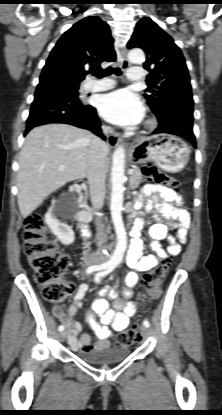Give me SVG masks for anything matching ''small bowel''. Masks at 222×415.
<instances>
[{
  "label": "small bowel",
  "mask_w": 222,
  "mask_h": 415,
  "mask_svg": "<svg viewBox=\"0 0 222 415\" xmlns=\"http://www.w3.org/2000/svg\"><path fill=\"white\" fill-rule=\"evenodd\" d=\"M141 197L147 198L145 211L155 210L154 223L148 230L151 241L149 243L155 255L143 254V241L138 232L135 233L127 255V264L132 268L126 276V286L121 295L116 290L104 287L100 290V295L105 298H96L92 301L90 309L86 314V321L97 337V342L92 343L91 337L87 333H81L82 327L72 318L77 314L82 305L88 285L81 283L71 301L68 309L64 312L59 307H54L53 312L58 319L66 325L68 330V343L74 351L104 350L110 347V342L115 332L126 330L129 320L136 313V304L132 300L133 288L138 283V273L146 272L158 265L160 259L167 255H177L181 247L177 243H172L165 250L160 241L167 237V226L163 220H177L182 228L179 241L184 243L185 232L190 224V216L186 211L181 197L173 190L147 184L141 190ZM142 220L137 218L136 228H140ZM109 300L113 303V308L109 306ZM96 315L100 317V322L96 320Z\"/></svg>",
  "instance_id": "small-bowel-1"
}]
</instances>
